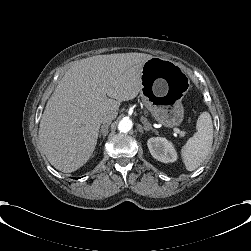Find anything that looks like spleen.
<instances>
[{"mask_svg":"<svg viewBox=\"0 0 251 251\" xmlns=\"http://www.w3.org/2000/svg\"><path fill=\"white\" fill-rule=\"evenodd\" d=\"M212 142V119L208 112H204L197 119L195 133L183 148V158L189 171L197 169L203 163L210 152Z\"/></svg>","mask_w":251,"mask_h":251,"instance_id":"spleen-1","label":"spleen"}]
</instances>
